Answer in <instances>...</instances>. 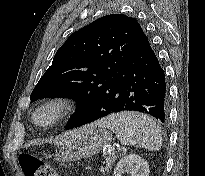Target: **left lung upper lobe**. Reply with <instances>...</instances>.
<instances>
[{
	"mask_svg": "<svg viewBox=\"0 0 205 176\" xmlns=\"http://www.w3.org/2000/svg\"><path fill=\"white\" fill-rule=\"evenodd\" d=\"M144 37L137 20L124 14L107 15L79 29L58 49L31 93V101L75 99L76 113L67 125V129L74 128Z\"/></svg>",
	"mask_w": 205,
	"mask_h": 176,
	"instance_id": "5c2ea615",
	"label": "left lung upper lobe"
}]
</instances>
